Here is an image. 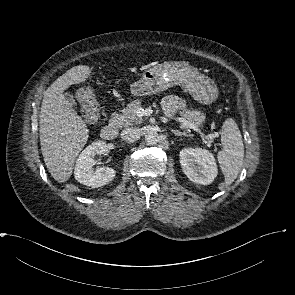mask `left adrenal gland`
I'll use <instances>...</instances> for the list:
<instances>
[{"label":"left adrenal gland","mask_w":295,"mask_h":295,"mask_svg":"<svg viewBox=\"0 0 295 295\" xmlns=\"http://www.w3.org/2000/svg\"><path fill=\"white\" fill-rule=\"evenodd\" d=\"M171 132L175 135V136H191V134L187 133V132H181L179 130H174L171 129Z\"/></svg>","instance_id":"left-adrenal-gland-1"}]
</instances>
